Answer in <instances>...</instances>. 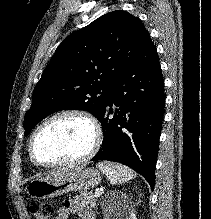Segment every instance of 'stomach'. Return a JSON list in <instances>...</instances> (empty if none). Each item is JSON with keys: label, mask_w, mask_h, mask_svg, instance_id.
Instances as JSON below:
<instances>
[{"label": "stomach", "mask_w": 211, "mask_h": 219, "mask_svg": "<svg viewBox=\"0 0 211 219\" xmlns=\"http://www.w3.org/2000/svg\"><path fill=\"white\" fill-rule=\"evenodd\" d=\"M102 174L95 168L66 170L62 175L49 179L34 180L28 185V193L36 198L47 199L72 191H86L100 184Z\"/></svg>", "instance_id": "obj_1"}]
</instances>
